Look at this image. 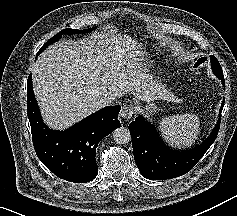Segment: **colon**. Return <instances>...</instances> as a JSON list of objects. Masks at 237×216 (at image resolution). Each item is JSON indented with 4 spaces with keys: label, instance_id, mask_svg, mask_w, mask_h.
<instances>
[{
    "label": "colon",
    "instance_id": "obj_1",
    "mask_svg": "<svg viewBox=\"0 0 237 216\" xmlns=\"http://www.w3.org/2000/svg\"><path fill=\"white\" fill-rule=\"evenodd\" d=\"M204 64H205V59L200 58L194 62L193 68L199 70L204 66Z\"/></svg>",
    "mask_w": 237,
    "mask_h": 216
}]
</instances>
